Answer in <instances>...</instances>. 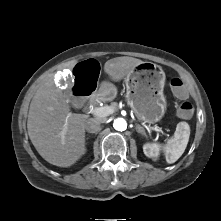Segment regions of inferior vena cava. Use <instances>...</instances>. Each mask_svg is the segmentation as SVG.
<instances>
[{
	"label": "inferior vena cava",
	"mask_w": 221,
	"mask_h": 221,
	"mask_svg": "<svg viewBox=\"0 0 221 221\" xmlns=\"http://www.w3.org/2000/svg\"><path fill=\"white\" fill-rule=\"evenodd\" d=\"M100 124L98 119L90 118L85 123V129L89 133H97L101 129Z\"/></svg>",
	"instance_id": "obj_1"
}]
</instances>
